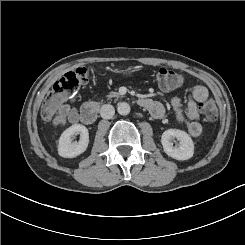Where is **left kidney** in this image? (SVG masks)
Returning a JSON list of instances; mask_svg holds the SVG:
<instances>
[{
	"mask_svg": "<svg viewBox=\"0 0 245 245\" xmlns=\"http://www.w3.org/2000/svg\"><path fill=\"white\" fill-rule=\"evenodd\" d=\"M172 138L180 140V146L174 147ZM161 144L164 152L176 160H188L193 157L195 144L190 135L180 129L165 130L161 136Z\"/></svg>",
	"mask_w": 245,
	"mask_h": 245,
	"instance_id": "obj_1",
	"label": "left kidney"
}]
</instances>
